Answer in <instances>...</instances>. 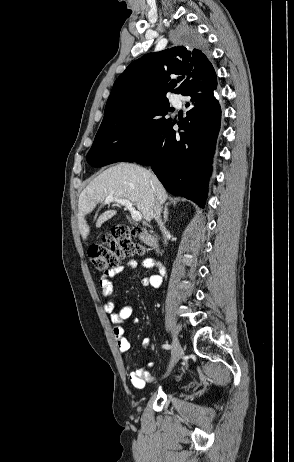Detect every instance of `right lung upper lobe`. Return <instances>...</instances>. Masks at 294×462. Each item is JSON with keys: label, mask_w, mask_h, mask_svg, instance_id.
I'll return each instance as SVG.
<instances>
[{"label": "right lung upper lobe", "mask_w": 294, "mask_h": 462, "mask_svg": "<svg viewBox=\"0 0 294 462\" xmlns=\"http://www.w3.org/2000/svg\"><path fill=\"white\" fill-rule=\"evenodd\" d=\"M174 75H179L174 79ZM215 70L199 49L173 47L149 53L132 62L116 79L107 100L104 117L116 114L146 100L166 98L174 90L184 93L190 87L215 76Z\"/></svg>", "instance_id": "right-lung-upper-lobe-1"}]
</instances>
